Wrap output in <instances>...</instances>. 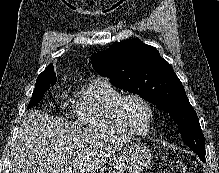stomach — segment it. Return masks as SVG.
Returning a JSON list of instances; mask_svg holds the SVG:
<instances>
[{
	"label": "stomach",
	"instance_id": "0dacf381",
	"mask_svg": "<svg viewBox=\"0 0 219 173\" xmlns=\"http://www.w3.org/2000/svg\"><path fill=\"white\" fill-rule=\"evenodd\" d=\"M152 151L143 143L132 142L120 148L111 162L98 173H140L153 161Z\"/></svg>",
	"mask_w": 219,
	"mask_h": 173
}]
</instances>
